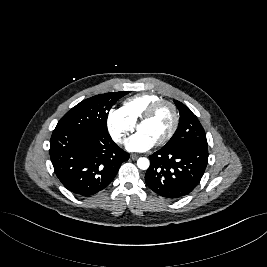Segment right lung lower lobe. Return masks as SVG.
<instances>
[{
  "label": "right lung lower lobe",
  "instance_id": "1",
  "mask_svg": "<svg viewBox=\"0 0 267 267\" xmlns=\"http://www.w3.org/2000/svg\"><path fill=\"white\" fill-rule=\"evenodd\" d=\"M50 158L61 183L78 196H91L109 185L129 159L102 131L54 130Z\"/></svg>",
  "mask_w": 267,
  "mask_h": 267
}]
</instances>
